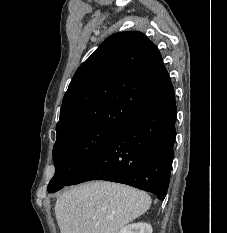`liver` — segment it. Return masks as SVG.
<instances>
[{
  "instance_id": "liver-1",
  "label": "liver",
  "mask_w": 227,
  "mask_h": 233,
  "mask_svg": "<svg viewBox=\"0 0 227 233\" xmlns=\"http://www.w3.org/2000/svg\"><path fill=\"white\" fill-rule=\"evenodd\" d=\"M150 196L107 181L78 185L60 195L55 214L61 233H119L151 206Z\"/></svg>"
}]
</instances>
